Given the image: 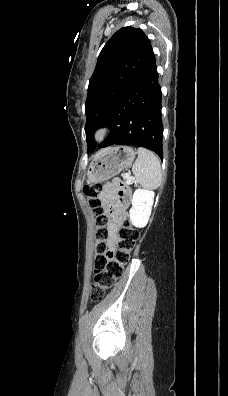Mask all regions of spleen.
I'll use <instances>...</instances> for the list:
<instances>
[{
	"label": "spleen",
	"mask_w": 228,
	"mask_h": 396,
	"mask_svg": "<svg viewBox=\"0 0 228 396\" xmlns=\"http://www.w3.org/2000/svg\"><path fill=\"white\" fill-rule=\"evenodd\" d=\"M132 172L134 183L140 184L146 189H156L162 181L161 164L158 157L150 150L138 148Z\"/></svg>",
	"instance_id": "3e777b00"
}]
</instances>
